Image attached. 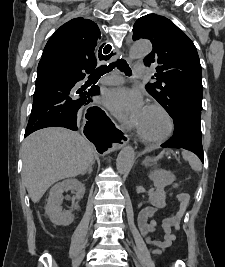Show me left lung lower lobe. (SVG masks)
<instances>
[{
  "label": "left lung lower lobe",
  "instance_id": "left-lung-lower-lobe-1",
  "mask_svg": "<svg viewBox=\"0 0 225 267\" xmlns=\"http://www.w3.org/2000/svg\"><path fill=\"white\" fill-rule=\"evenodd\" d=\"M201 109L197 106L187 108L175 125L173 137L162 147L183 148L195 153L204 162L201 140Z\"/></svg>",
  "mask_w": 225,
  "mask_h": 267
}]
</instances>
